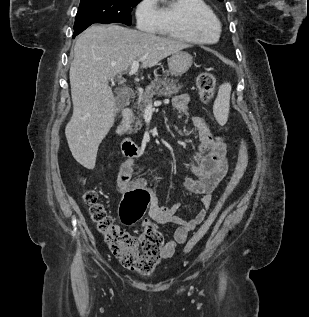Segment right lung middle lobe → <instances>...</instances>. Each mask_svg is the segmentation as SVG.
<instances>
[{"label":"right lung middle lobe","instance_id":"obj_1","mask_svg":"<svg viewBox=\"0 0 309 317\" xmlns=\"http://www.w3.org/2000/svg\"><path fill=\"white\" fill-rule=\"evenodd\" d=\"M141 0H81L74 29L93 23H132L131 11Z\"/></svg>","mask_w":309,"mask_h":317}]
</instances>
